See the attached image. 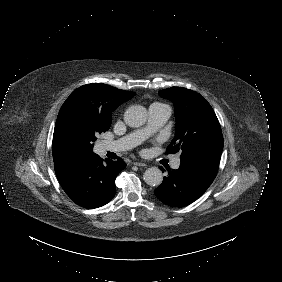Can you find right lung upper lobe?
I'll list each match as a JSON object with an SVG mask.
<instances>
[{"label": "right lung upper lobe", "mask_w": 282, "mask_h": 282, "mask_svg": "<svg viewBox=\"0 0 282 282\" xmlns=\"http://www.w3.org/2000/svg\"><path fill=\"white\" fill-rule=\"evenodd\" d=\"M134 95L135 92L120 90L102 83L83 85L73 91L64 102L58 114L56 123H58L62 116L65 115V113L72 107L82 104H91L97 107L101 113H112V111L115 110L120 104L128 101ZM66 159H68V157L59 147L55 136L53 135L54 164L60 163Z\"/></svg>", "instance_id": "1"}]
</instances>
